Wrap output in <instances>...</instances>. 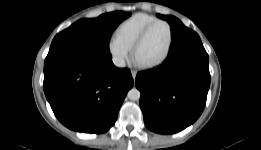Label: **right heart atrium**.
I'll return each mask as SVG.
<instances>
[{"instance_id":"1","label":"right heart atrium","mask_w":261,"mask_h":150,"mask_svg":"<svg viewBox=\"0 0 261 150\" xmlns=\"http://www.w3.org/2000/svg\"><path fill=\"white\" fill-rule=\"evenodd\" d=\"M108 52L115 65L122 67L130 58L131 49L116 37H111L107 44Z\"/></svg>"}]
</instances>
